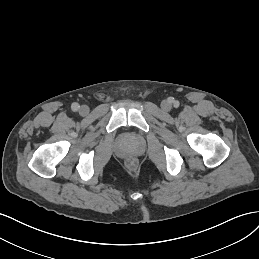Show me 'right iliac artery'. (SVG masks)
I'll return each instance as SVG.
<instances>
[{
  "mask_svg": "<svg viewBox=\"0 0 259 259\" xmlns=\"http://www.w3.org/2000/svg\"><path fill=\"white\" fill-rule=\"evenodd\" d=\"M79 104L78 103H73L72 105H71V108H72V110L73 111H77L78 109H79Z\"/></svg>",
  "mask_w": 259,
  "mask_h": 259,
  "instance_id": "obj_1",
  "label": "right iliac artery"
}]
</instances>
